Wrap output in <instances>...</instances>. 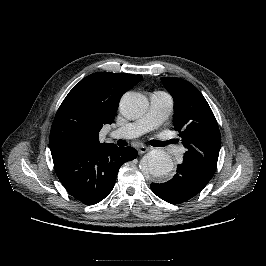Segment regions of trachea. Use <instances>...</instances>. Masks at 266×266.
Segmentation results:
<instances>
[{"label": "trachea", "instance_id": "3493384b", "mask_svg": "<svg viewBox=\"0 0 266 266\" xmlns=\"http://www.w3.org/2000/svg\"><path fill=\"white\" fill-rule=\"evenodd\" d=\"M173 143V140H169V141H156V146H166L168 144Z\"/></svg>", "mask_w": 266, "mask_h": 266}]
</instances>
